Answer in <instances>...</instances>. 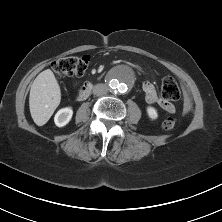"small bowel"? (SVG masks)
<instances>
[{
  "label": "small bowel",
  "instance_id": "small-bowel-1",
  "mask_svg": "<svg viewBox=\"0 0 222 222\" xmlns=\"http://www.w3.org/2000/svg\"><path fill=\"white\" fill-rule=\"evenodd\" d=\"M142 89L145 95V99L147 101V103L149 104H158L164 111L168 112V113H174L175 112V106L170 103L169 101L160 98L157 95V92L155 90L154 85L149 82V81H145L142 84ZM188 108L185 107L184 108V113H188Z\"/></svg>",
  "mask_w": 222,
  "mask_h": 222
}]
</instances>
